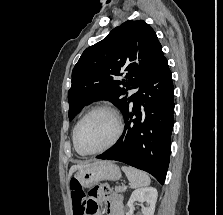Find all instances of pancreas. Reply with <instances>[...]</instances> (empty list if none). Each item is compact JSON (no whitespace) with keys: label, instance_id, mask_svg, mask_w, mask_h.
Instances as JSON below:
<instances>
[{"label":"pancreas","instance_id":"pancreas-1","mask_svg":"<svg viewBox=\"0 0 223 215\" xmlns=\"http://www.w3.org/2000/svg\"><path fill=\"white\" fill-rule=\"evenodd\" d=\"M115 191H126V190H123L121 185H115Z\"/></svg>","mask_w":223,"mask_h":215}]
</instances>
